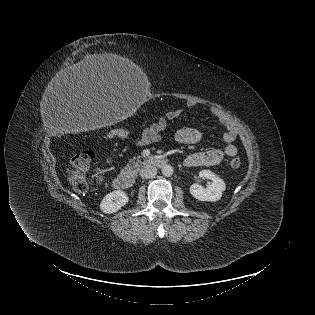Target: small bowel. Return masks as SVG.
Here are the masks:
<instances>
[{"label": "small bowel", "instance_id": "obj_1", "mask_svg": "<svg viewBox=\"0 0 315 315\" xmlns=\"http://www.w3.org/2000/svg\"><path fill=\"white\" fill-rule=\"evenodd\" d=\"M187 105L194 107L196 103L188 101ZM183 112V109H175L160 115L154 123L145 127L140 134L134 137V145L142 147L161 141L163 134L167 131L169 122L180 117ZM210 113L225 127L222 138L226 146L189 154L184 160L187 167L218 166L222 164L225 156L233 157L237 154L238 150L234 144L237 131L230 117L224 111L215 107L210 108ZM202 138L203 133L200 130L189 127L181 128L174 133V140L180 144H195Z\"/></svg>", "mask_w": 315, "mask_h": 315}]
</instances>
